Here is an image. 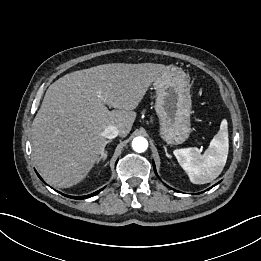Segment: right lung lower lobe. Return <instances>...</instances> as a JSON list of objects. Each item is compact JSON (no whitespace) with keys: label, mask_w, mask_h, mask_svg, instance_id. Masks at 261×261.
Instances as JSON below:
<instances>
[{"label":"right lung lower lobe","mask_w":261,"mask_h":261,"mask_svg":"<svg viewBox=\"0 0 261 261\" xmlns=\"http://www.w3.org/2000/svg\"><path fill=\"white\" fill-rule=\"evenodd\" d=\"M38 175V177L43 181V179L39 176V174H37ZM102 189H100L99 191H96V192H94V193H92V194H90V195H86V196H69V195H64V196H67V197H69V198H73V199H86V198H89V197H92V196H94V195H96V194H98L100 191H101ZM62 194V193H61Z\"/></svg>","instance_id":"98d812e1"}]
</instances>
